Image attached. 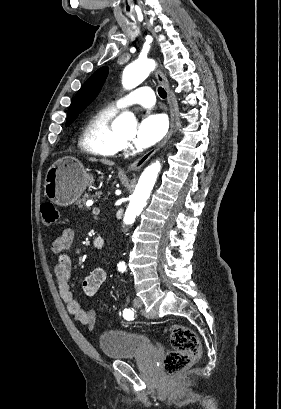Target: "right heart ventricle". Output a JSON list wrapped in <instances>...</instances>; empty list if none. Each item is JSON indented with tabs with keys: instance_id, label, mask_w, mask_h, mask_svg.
Masks as SVG:
<instances>
[{
	"instance_id": "e07e8e85",
	"label": "right heart ventricle",
	"mask_w": 281,
	"mask_h": 409,
	"mask_svg": "<svg viewBox=\"0 0 281 409\" xmlns=\"http://www.w3.org/2000/svg\"><path fill=\"white\" fill-rule=\"evenodd\" d=\"M114 115V110L105 108L95 112L87 121L84 141L85 148L91 155L98 158H108L117 153L111 126Z\"/></svg>"
}]
</instances>
